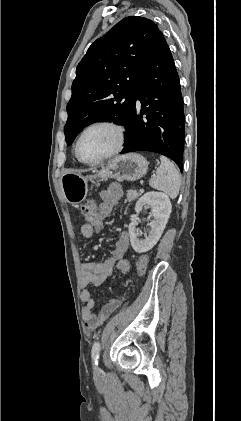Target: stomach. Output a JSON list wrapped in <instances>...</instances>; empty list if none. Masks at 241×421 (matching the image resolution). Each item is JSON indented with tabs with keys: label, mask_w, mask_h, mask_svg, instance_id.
<instances>
[{
	"label": "stomach",
	"mask_w": 241,
	"mask_h": 421,
	"mask_svg": "<svg viewBox=\"0 0 241 421\" xmlns=\"http://www.w3.org/2000/svg\"><path fill=\"white\" fill-rule=\"evenodd\" d=\"M147 160L137 153L119 155L109 160L92 175L67 171L61 177V188L65 200L72 204L81 203L87 196L88 182L95 178L136 181L147 173Z\"/></svg>",
	"instance_id": "0dacf381"
}]
</instances>
